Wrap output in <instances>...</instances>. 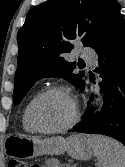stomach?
Instances as JSON below:
<instances>
[{"mask_svg": "<svg viewBox=\"0 0 125 167\" xmlns=\"http://www.w3.org/2000/svg\"><path fill=\"white\" fill-rule=\"evenodd\" d=\"M67 152L71 157L88 160L93 154L90 138L81 134L62 137L39 139L22 134L11 135L7 138L6 154L25 159L40 155H60Z\"/></svg>", "mask_w": 125, "mask_h": 167, "instance_id": "1", "label": "stomach"}]
</instances>
